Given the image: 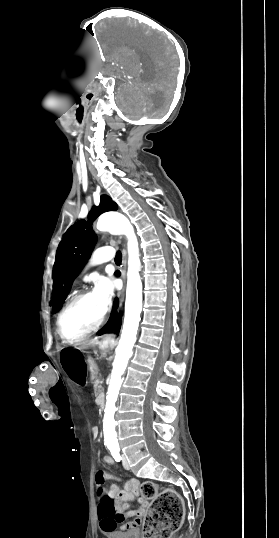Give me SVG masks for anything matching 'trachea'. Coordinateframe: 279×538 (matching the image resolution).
Segmentation results:
<instances>
[{
	"mask_svg": "<svg viewBox=\"0 0 279 538\" xmlns=\"http://www.w3.org/2000/svg\"><path fill=\"white\" fill-rule=\"evenodd\" d=\"M122 261V255L121 253L118 251L116 253V256H115V262H121Z\"/></svg>",
	"mask_w": 279,
	"mask_h": 538,
	"instance_id": "3493384b",
	"label": "trachea"
}]
</instances>
